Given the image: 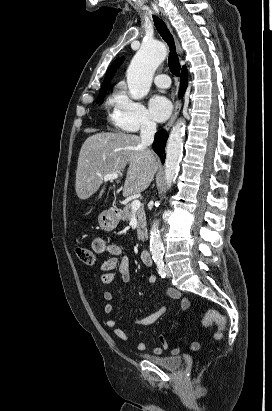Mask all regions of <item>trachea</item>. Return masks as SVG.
I'll return each instance as SVG.
<instances>
[{
	"label": "trachea",
	"mask_w": 272,
	"mask_h": 411,
	"mask_svg": "<svg viewBox=\"0 0 272 411\" xmlns=\"http://www.w3.org/2000/svg\"><path fill=\"white\" fill-rule=\"evenodd\" d=\"M154 24L158 33L169 46L170 52L168 57V66L170 72L178 77L180 75V63L178 55L176 53L174 38L170 33L169 29L167 28L166 24L156 16H154Z\"/></svg>",
	"instance_id": "1"
}]
</instances>
